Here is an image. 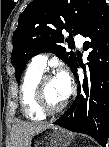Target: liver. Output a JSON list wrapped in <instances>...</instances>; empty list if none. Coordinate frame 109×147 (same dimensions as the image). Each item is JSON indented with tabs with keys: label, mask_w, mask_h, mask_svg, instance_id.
Instances as JSON below:
<instances>
[{
	"label": "liver",
	"mask_w": 109,
	"mask_h": 147,
	"mask_svg": "<svg viewBox=\"0 0 109 147\" xmlns=\"http://www.w3.org/2000/svg\"><path fill=\"white\" fill-rule=\"evenodd\" d=\"M50 124L19 122L12 127L10 147H29L32 136Z\"/></svg>",
	"instance_id": "liver-1"
}]
</instances>
